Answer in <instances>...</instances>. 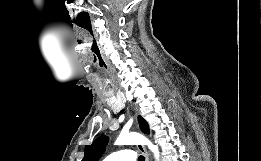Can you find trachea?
<instances>
[{
  "mask_svg": "<svg viewBox=\"0 0 261 161\" xmlns=\"http://www.w3.org/2000/svg\"><path fill=\"white\" fill-rule=\"evenodd\" d=\"M138 161H145V157H144V156H142V155H141V156H139V157H138Z\"/></svg>",
  "mask_w": 261,
  "mask_h": 161,
  "instance_id": "3493384b",
  "label": "trachea"
}]
</instances>
